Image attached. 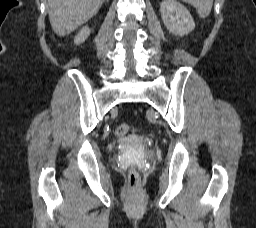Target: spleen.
<instances>
[{"instance_id":"3e777b00","label":"spleen","mask_w":256,"mask_h":228,"mask_svg":"<svg viewBox=\"0 0 256 228\" xmlns=\"http://www.w3.org/2000/svg\"><path fill=\"white\" fill-rule=\"evenodd\" d=\"M193 5L202 18L207 17L212 9L213 0H182Z\"/></svg>"}]
</instances>
